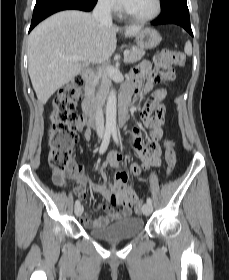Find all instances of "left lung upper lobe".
Returning a JSON list of instances; mask_svg holds the SVG:
<instances>
[{
	"label": "left lung upper lobe",
	"mask_w": 229,
	"mask_h": 280,
	"mask_svg": "<svg viewBox=\"0 0 229 280\" xmlns=\"http://www.w3.org/2000/svg\"><path fill=\"white\" fill-rule=\"evenodd\" d=\"M172 0H162V2H163V7L165 6V5H167L168 3H170Z\"/></svg>",
	"instance_id": "1"
}]
</instances>
